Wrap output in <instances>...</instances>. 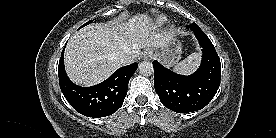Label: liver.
<instances>
[{
	"label": "liver",
	"instance_id": "1",
	"mask_svg": "<svg viewBox=\"0 0 276 138\" xmlns=\"http://www.w3.org/2000/svg\"><path fill=\"white\" fill-rule=\"evenodd\" d=\"M174 35L156 31L146 14L135 15L127 22L91 24L77 31L65 49V69L76 84L92 86L107 79L121 64L117 55L130 50L139 55L140 49L162 48Z\"/></svg>",
	"mask_w": 276,
	"mask_h": 138
}]
</instances>
